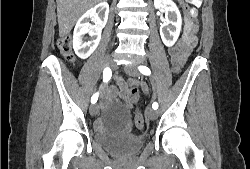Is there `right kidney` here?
I'll list each match as a JSON object with an SVG mask.
<instances>
[{
    "label": "right kidney",
    "mask_w": 250,
    "mask_h": 169,
    "mask_svg": "<svg viewBox=\"0 0 250 169\" xmlns=\"http://www.w3.org/2000/svg\"><path fill=\"white\" fill-rule=\"evenodd\" d=\"M109 14L108 2H99L93 8L86 10L79 18L73 32V48L80 58H88L101 40L102 28H104ZM93 20L95 24H90ZM89 34L90 40H85L84 34Z\"/></svg>",
    "instance_id": "1"
}]
</instances>
